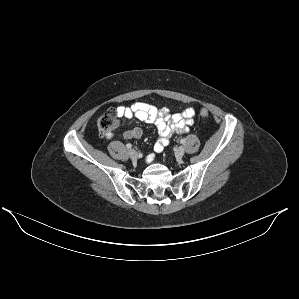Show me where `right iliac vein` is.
Listing matches in <instances>:
<instances>
[{"instance_id":"right-iliac-vein-1","label":"right iliac vein","mask_w":299,"mask_h":299,"mask_svg":"<svg viewBox=\"0 0 299 299\" xmlns=\"http://www.w3.org/2000/svg\"><path fill=\"white\" fill-rule=\"evenodd\" d=\"M128 154H129L131 159H136L137 156H138L137 151H135L134 149L129 150Z\"/></svg>"}]
</instances>
